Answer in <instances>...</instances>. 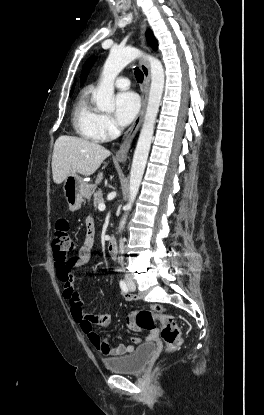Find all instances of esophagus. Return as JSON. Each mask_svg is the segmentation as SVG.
I'll return each instance as SVG.
<instances>
[{"label": "esophagus", "mask_w": 264, "mask_h": 415, "mask_svg": "<svg viewBox=\"0 0 264 415\" xmlns=\"http://www.w3.org/2000/svg\"><path fill=\"white\" fill-rule=\"evenodd\" d=\"M146 30V21L143 20L141 23V47L142 49H146V43H145V37L144 33ZM140 69L144 76V83L142 87V99H141V108L137 116L135 117L132 125L129 127V129L126 131L125 135L122 138V145L120 149L117 151L115 155V159L124 163L126 162L128 158V151L130 149L131 143L139 130V127L141 125L146 104H147V95H148V88H149V82H150V72L147 63L144 60H141L140 63Z\"/></svg>", "instance_id": "34e87169"}]
</instances>
